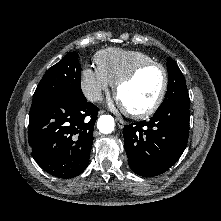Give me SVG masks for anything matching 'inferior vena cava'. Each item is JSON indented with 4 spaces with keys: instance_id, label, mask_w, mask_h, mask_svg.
I'll use <instances>...</instances> for the list:
<instances>
[{
    "instance_id": "1",
    "label": "inferior vena cava",
    "mask_w": 221,
    "mask_h": 221,
    "mask_svg": "<svg viewBox=\"0 0 221 221\" xmlns=\"http://www.w3.org/2000/svg\"><path fill=\"white\" fill-rule=\"evenodd\" d=\"M86 98L89 101H97L101 98V91L98 89H91L86 93Z\"/></svg>"
}]
</instances>
